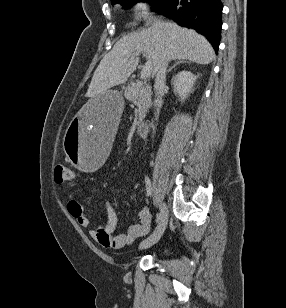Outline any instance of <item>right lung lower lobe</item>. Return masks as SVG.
I'll list each match as a JSON object with an SVG mask.
<instances>
[{"mask_svg":"<svg viewBox=\"0 0 286 308\" xmlns=\"http://www.w3.org/2000/svg\"><path fill=\"white\" fill-rule=\"evenodd\" d=\"M222 9L220 0H166L157 12L181 26L203 34L217 54L221 38Z\"/></svg>","mask_w":286,"mask_h":308,"instance_id":"98d812e1","label":"right lung lower lobe"}]
</instances>
